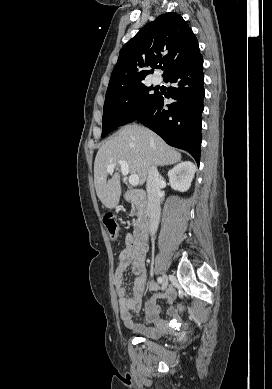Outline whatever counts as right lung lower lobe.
<instances>
[{
	"instance_id": "obj_1",
	"label": "right lung lower lobe",
	"mask_w": 272,
	"mask_h": 389,
	"mask_svg": "<svg viewBox=\"0 0 272 389\" xmlns=\"http://www.w3.org/2000/svg\"><path fill=\"white\" fill-rule=\"evenodd\" d=\"M202 68L200 55L171 72L164 79L175 86L169 88L167 95L159 93L157 99L135 118L160 135L167 144L188 151L197 164L200 161L201 113L205 95ZM170 97L176 101L167 105L165 110L164 101Z\"/></svg>"
}]
</instances>
